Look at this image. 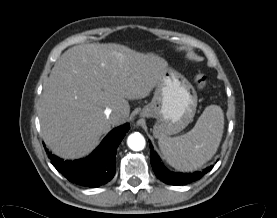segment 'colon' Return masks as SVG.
Masks as SVG:
<instances>
[{"label": "colon", "mask_w": 277, "mask_h": 218, "mask_svg": "<svg viewBox=\"0 0 277 218\" xmlns=\"http://www.w3.org/2000/svg\"><path fill=\"white\" fill-rule=\"evenodd\" d=\"M206 84H207L206 77L203 74H198L195 77V85L197 89L203 90L206 87Z\"/></svg>", "instance_id": "1"}]
</instances>
